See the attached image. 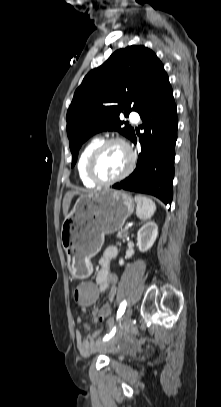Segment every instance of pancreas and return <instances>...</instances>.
<instances>
[{
    "label": "pancreas",
    "instance_id": "obj_1",
    "mask_svg": "<svg viewBox=\"0 0 221 407\" xmlns=\"http://www.w3.org/2000/svg\"><path fill=\"white\" fill-rule=\"evenodd\" d=\"M127 236V230L126 229H122L117 233V238L119 239H123Z\"/></svg>",
    "mask_w": 221,
    "mask_h": 407
}]
</instances>
